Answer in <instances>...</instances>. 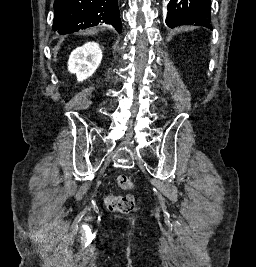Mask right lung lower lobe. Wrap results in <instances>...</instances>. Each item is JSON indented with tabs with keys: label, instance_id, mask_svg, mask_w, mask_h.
Returning <instances> with one entry per match:
<instances>
[{
	"label": "right lung lower lobe",
	"instance_id": "obj_1",
	"mask_svg": "<svg viewBox=\"0 0 256 267\" xmlns=\"http://www.w3.org/2000/svg\"><path fill=\"white\" fill-rule=\"evenodd\" d=\"M99 23L121 32L118 0H55L53 31L73 33Z\"/></svg>",
	"mask_w": 256,
	"mask_h": 267
}]
</instances>
